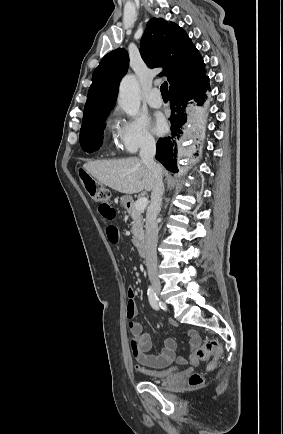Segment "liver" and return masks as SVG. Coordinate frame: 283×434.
I'll use <instances>...</instances> for the list:
<instances>
[{"instance_id": "1", "label": "liver", "mask_w": 283, "mask_h": 434, "mask_svg": "<svg viewBox=\"0 0 283 434\" xmlns=\"http://www.w3.org/2000/svg\"><path fill=\"white\" fill-rule=\"evenodd\" d=\"M83 169L99 183L124 194L149 192L155 184L153 172L138 157L88 161Z\"/></svg>"}]
</instances>
